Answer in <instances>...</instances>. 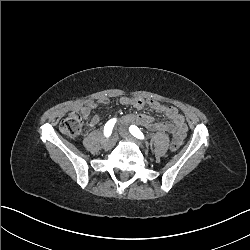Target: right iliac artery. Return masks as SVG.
Listing matches in <instances>:
<instances>
[{"label": "right iliac artery", "instance_id": "obj_1", "mask_svg": "<svg viewBox=\"0 0 250 250\" xmlns=\"http://www.w3.org/2000/svg\"><path fill=\"white\" fill-rule=\"evenodd\" d=\"M115 122H116V119L114 118V119L109 120L105 124V126H104V135L106 137H109L111 135Z\"/></svg>", "mask_w": 250, "mask_h": 250}]
</instances>
